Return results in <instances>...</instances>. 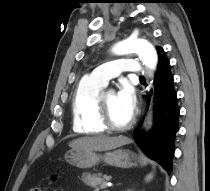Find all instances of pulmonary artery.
I'll return each mask as SVG.
<instances>
[{
  "label": "pulmonary artery",
  "instance_id": "e3ab8cb5",
  "mask_svg": "<svg viewBox=\"0 0 210 191\" xmlns=\"http://www.w3.org/2000/svg\"><path fill=\"white\" fill-rule=\"evenodd\" d=\"M123 71H129L134 75L148 74L138 61L121 58L100 65L89 73L88 77L102 85H106L110 79L117 77Z\"/></svg>",
  "mask_w": 210,
  "mask_h": 191
}]
</instances>
